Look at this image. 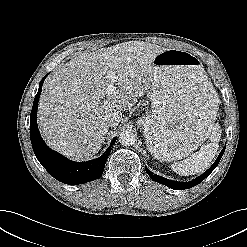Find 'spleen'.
<instances>
[{
    "label": "spleen",
    "instance_id": "obj_1",
    "mask_svg": "<svg viewBox=\"0 0 247 247\" xmlns=\"http://www.w3.org/2000/svg\"><path fill=\"white\" fill-rule=\"evenodd\" d=\"M208 137L211 141L210 143L203 145L198 152L189 158L181 162H174L171 165L172 170L181 176L195 175L206 170L219 148L218 142L221 138V127L218 123L211 126Z\"/></svg>",
    "mask_w": 247,
    "mask_h": 247
}]
</instances>
